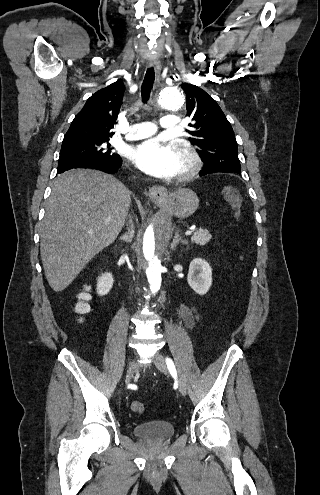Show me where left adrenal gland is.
<instances>
[{
	"label": "left adrenal gland",
	"mask_w": 320,
	"mask_h": 495,
	"mask_svg": "<svg viewBox=\"0 0 320 495\" xmlns=\"http://www.w3.org/2000/svg\"><path fill=\"white\" fill-rule=\"evenodd\" d=\"M178 244H184V245H187L188 244V241L186 239H182L180 236H179V232L177 231L173 237V241L171 243V249L174 250V248L178 245Z\"/></svg>",
	"instance_id": "obj_1"
}]
</instances>
